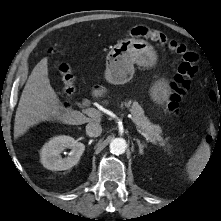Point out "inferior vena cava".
Returning <instances> with one entry per match:
<instances>
[{"mask_svg": "<svg viewBox=\"0 0 221 221\" xmlns=\"http://www.w3.org/2000/svg\"><path fill=\"white\" fill-rule=\"evenodd\" d=\"M102 133V127L98 122H89L86 125V134L90 137H98Z\"/></svg>", "mask_w": 221, "mask_h": 221, "instance_id": "1", "label": "inferior vena cava"}]
</instances>
